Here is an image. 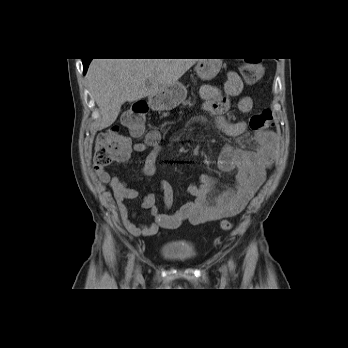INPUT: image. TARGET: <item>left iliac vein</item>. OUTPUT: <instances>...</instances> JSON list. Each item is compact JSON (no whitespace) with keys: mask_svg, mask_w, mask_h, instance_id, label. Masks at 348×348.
<instances>
[{"mask_svg":"<svg viewBox=\"0 0 348 348\" xmlns=\"http://www.w3.org/2000/svg\"><path fill=\"white\" fill-rule=\"evenodd\" d=\"M222 275H223V277L226 276V270L225 269L222 270Z\"/></svg>","mask_w":348,"mask_h":348,"instance_id":"obj_1","label":"left iliac vein"}]
</instances>
